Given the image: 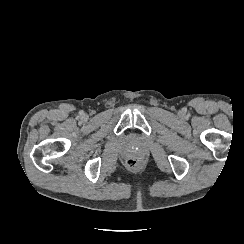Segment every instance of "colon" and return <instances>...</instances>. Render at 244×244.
I'll use <instances>...</instances> for the list:
<instances>
[{"mask_svg": "<svg viewBox=\"0 0 244 244\" xmlns=\"http://www.w3.org/2000/svg\"><path fill=\"white\" fill-rule=\"evenodd\" d=\"M128 166L130 168H137L139 166V159L137 157H130L128 159Z\"/></svg>", "mask_w": 244, "mask_h": 244, "instance_id": "5ec220e1", "label": "colon"}]
</instances>
